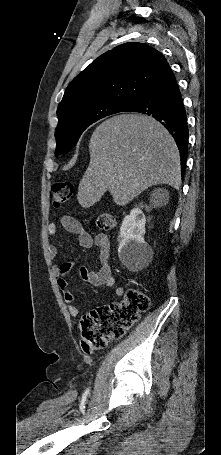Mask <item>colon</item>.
Returning <instances> with one entry per match:
<instances>
[{
	"instance_id": "1",
	"label": "colon",
	"mask_w": 221,
	"mask_h": 455,
	"mask_svg": "<svg viewBox=\"0 0 221 455\" xmlns=\"http://www.w3.org/2000/svg\"><path fill=\"white\" fill-rule=\"evenodd\" d=\"M75 191L73 182L54 184L51 189L53 206L62 207L73 197ZM116 223L115 216L110 213H102L95 220L96 227L102 231L113 230ZM149 307V297L140 289L130 288L123 301L100 307L85 315L81 320L82 349L92 352L103 348L111 340L120 339Z\"/></svg>"
}]
</instances>
